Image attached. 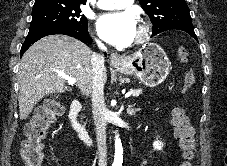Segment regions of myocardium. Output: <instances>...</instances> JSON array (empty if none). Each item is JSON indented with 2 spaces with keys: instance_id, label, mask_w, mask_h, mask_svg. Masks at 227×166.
I'll use <instances>...</instances> for the list:
<instances>
[{
  "instance_id": "obj_1",
  "label": "myocardium",
  "mask_w": 227,
  "mask_h": 166,
  "mask_svg": "<svg viewBox=\"0 0 227 166\" xmlns=\"http://www.w3.org/2000/svg\"><path fill=\"white\" fill-rule=\"evenodd\" d=\"M150 36V29L145 23L139 25L138 33L135 39L136 44L144 43Z\"/></svg>"
}]
</instances>
